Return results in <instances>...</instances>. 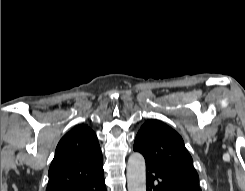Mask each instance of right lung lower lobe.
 Here are the masks:
<instances>
[{
  "mask_svg": "<svg viewBox=\"0 0 245 191\" xmlns=\"http://www.w3.org/2000/svg\"><path fill=\"white\" fill-rule=\"evenodd\" d=\"M67 191H106L103 174L97 175L88 181L75 185Z\"/></svg>",
  "mask_w": 245,
  "mask_h": 191,
  "instance_id": "1",
  "label": "right lung lower lobe"
}]
</instances>
